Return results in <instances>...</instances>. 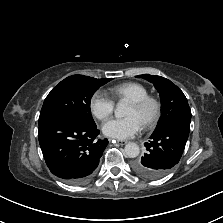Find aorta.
Segmentation results:
<instances>
[{"label":"aorta","mask_w":223,"mask_h":223,"mask_svg":"<svg viewBox=\"0 0 223 223\" xmlns=\"http://www.w3.org/2000/svg\"><path fill=\"white\" fill-rule=\"evenodd\" d=\"M126 114V106L123 103H118L115 109L117 117H123ZM124 153L129 158H136L140 153V148L136 143L130 142L125 145Z\"/></svg>","instance_id":"obj_1"}]
</instances>
